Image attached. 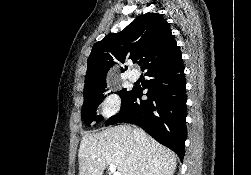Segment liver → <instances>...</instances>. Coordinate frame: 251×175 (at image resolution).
<instances>
[{"mask_svg":"<svg viewBox=\"0 0 251 175\" xmlns=\"http://www.w3.org/2000/svg\"><path fill=\"white\" fill-rule=\"evenodd\" d=\"M130 125H116L81 139L79 175H102L114 163L122 175H173L177 159L145 131L134 137Z\"/></svg>","mask_w":251,"mask_h":175,"instance_id":"obj_1","label":"liver"}]
</instances>
